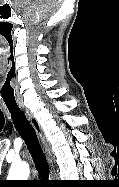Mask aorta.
<instances>
[{
    "label": "aorta",
    "instance_id": "aorta-1",
    "mask_svg": "<svg viewBox=\"0 0 119 187\" xmlns=\"http://www.w3.org/2000/svg\"><path fill=\"white\" fill-rule=\"evenodd\" d=\"M29 173H30V168L26 162L13 163L9 170L8 179L27 180Z\"/></svg>",
    "mask_w": 119,
    "mask_h": 187
}]
</instances>
